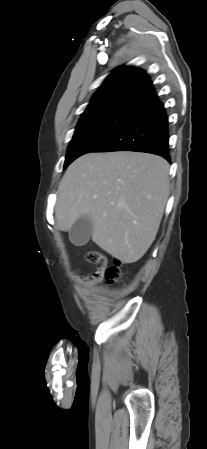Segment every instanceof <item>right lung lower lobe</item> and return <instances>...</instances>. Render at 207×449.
I'll return each instance as SVG.
<instances>
[{"label":"right lung lower lobe","instance_id":"right-lung-lower-lobe-1","mask_svg":"<svg viewBox=\"0 0 207 449\" xmlns=\"http://www.w3.org/2000/svg\"><path fill=\"white\" fill-rule=\"evenodd\" d=\"M168 118L162 102L142 108L92 152L138 151L152 153L170 161Z\"/></svg>","mask_w":207,"mask_h":449}]
</instances>
